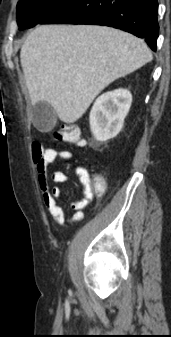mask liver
Here are the masks:
<instances>
[{
  "label": "liver",
  "mask_w": 171,
  "mask_h": 337,
  "mask_svg": "<svg viewBox=\"0 0 171 337\" xmlns=\"http://www.w3.org/2000/svg\"><path fill=\"white\" fill-rule=\"evenodd\" d=\"M152 58L144 40L93 25L38 26L20 52L32 103L47 102L65 123L77 121L106 86Z\"/></svg>",
  "instance_id": "liver-1"
}]
</instances>
